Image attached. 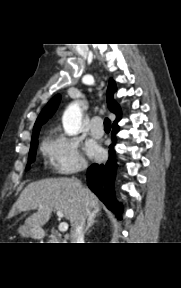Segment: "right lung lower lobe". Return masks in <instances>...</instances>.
I'll use <instances>...</instances> for the list:
<instances>
[{"label": "right lung lower lobe", "mask_w": 181, "mask_h": 288, "mask_svg": "<svg viewBox=\"0 0 181 288\" xmlns=\"http://www.w3.org/2000/svg\"><path fill=\"white\" fill-rule=\"evenodd\" d=\"M119 131L118 124L112 126V141L109 146V159L104 164H93L87 171V184L89 188L100 198L110 211L122 218L123 206L114 195L113 182L116 172V161L114 145L116 143V133Z\"/></svg>", "instance_id": "98d812e1"}]
</instances>
